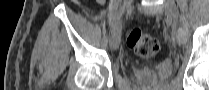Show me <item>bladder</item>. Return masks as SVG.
<instances>
[{
	"mask_svg": "<svg viewBox=\"0 0 209 90\" xmlns=\"http://www.w3.org/2000/svg\"><path fill=\"white\" fill-rule=\"evenodd\" d=\"M134 76L140 87L144 90L158 86L159 76L157 70L152 67L143 66L135 69Z\"/></svg>",
	"mask_w": 209,
	"mask_h": 90,
	"instance_id": "obj_1",
	"label": "bladder"
}]
</instances>
